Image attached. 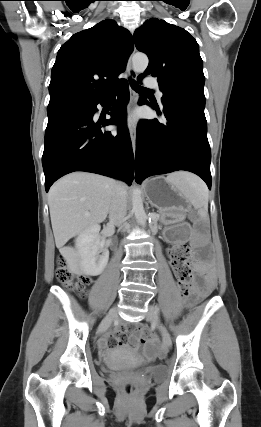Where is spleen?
Returning <instances> with one entry per match:
<instances>
[{"label": "spleen", "mask_w": 261, "mask_h": 427, "mask_svg": "<svg viewBox=\"0 0 261 427\" xmlns=\"http://www.w3.org/2000/svg\"><path fill=\"white\" fill-rule=\"evenodd\" d=\"M167 178L178 186L185 198L198 210L199 216L207 221L208 189L205 183L197 176L187 172L171 174Z\"/></svg>", "instance_id": "1"}]
</instances>
